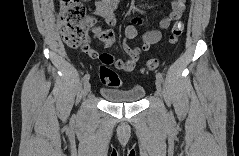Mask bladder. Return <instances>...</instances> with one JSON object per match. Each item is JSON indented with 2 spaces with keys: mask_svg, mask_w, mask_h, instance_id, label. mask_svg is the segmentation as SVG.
Returning <instances> with one entry per match:
<instances>
[{
  "mask_svg": "<svg viewBox=\"0 0 239 156\" xmlns=\"http://www.w3.org/2000/svg\"><path fill=\"white\" fill-rule=\"evenodd\" d=\"M104 99L111 103H134L140 101L145 95L143 87H133L127 90L102 89Z\"/></svg>",
  "mask_w": 239,
  "mask_h": 156,
  "instance_id": "bladder-1",
  "label": "bladder"
}]
</instances>
